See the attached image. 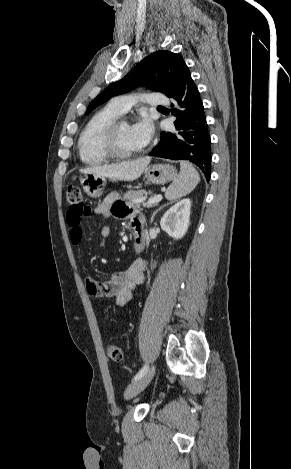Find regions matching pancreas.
<instances>
[{
  "mask_svg": "<svg viewBox=\"0 0 291 469\" xmlns=\"http://www.w3.org/2000/svg\"><path fill=\"white\" fill-rule=\"evenodd\" d=\"M148 194H151V192H147L145 190H130L123 195V200L131 207H138L140 204L138 200L146 197ZM155 205H157V203L147 204V207Z\"/></svg>",
  "mask_w": 291,
  "mask_h": 469,
  "instance_id": "pancreas-1",
  "label": "pancreas"
}]
</instances>
